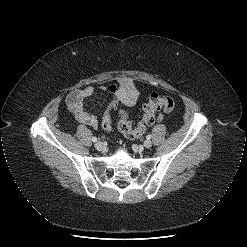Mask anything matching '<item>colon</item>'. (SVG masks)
I'll return each mask as SVG.
<instances>
[{"instance_id": "colon-1", "label": "colon", "mask_w": 247, "mask_h": 247, "mask_svg": "<svg viewBox=\"0 0 247 247\" xmlns=\"http://www.w3.org/2000/svg\"><path fill=\"white\" fill-rule=\"evenodd\" d=\"M118 108L119 102L117 97H115L109 105L102 120V127L105 131H111V112L117 110ZM174 108L175 102L171 97L153 93L150 95L148 102L143 106V116L136 127L132 126L128 112L120 109L121 118L118 122V129L124 137L129 140L140 138L146 131L147 127L154 124L157 112H171Z\"/></svg>"}]
</instances>
